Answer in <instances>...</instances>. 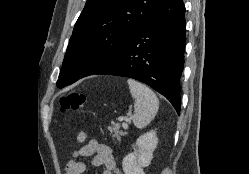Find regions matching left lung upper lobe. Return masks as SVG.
<instances>
[{
	"label": "left lung upper lobe",
	"mask_w": 249,
	"mask_h": 174,
	"mask_svg": "<svg viewBox=\"0 0 249 174\" xmlns=\"http://www.w3.org/2000/svg\"><path fill=\"white\" fill-rule=\"evenodd\" d=\"M162 0H87L69 41L57 87L96 74L127 47Z\"/></svg>",
	"instance_id": "left-lung-upper-lobe-1"
}]
</instances>
